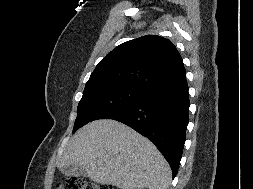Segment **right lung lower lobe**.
<instances>
[{
  "instance_id": "right-lung-lower-lobe-1",
  "label": "right lung lower lobe",
  "mask_w": 253,
  "mask_h": 189,
  "mask_svg": "<svg viewBox=\"0 0 253 189\" xmlns=\"http://www.w3.org/2000/svg\"><path fill=\"white\" fill-rule=\"evenodd\" d=\"M186 79L147 91L136 103L105 118L122 122L153 142L170 164L173 178L182 157L189 123Z\"/></svg>"
}]
</instances>
